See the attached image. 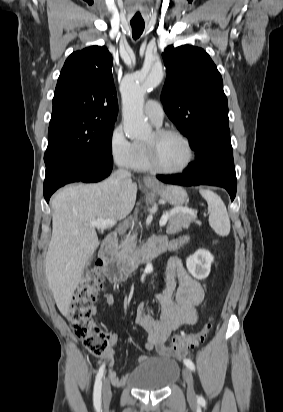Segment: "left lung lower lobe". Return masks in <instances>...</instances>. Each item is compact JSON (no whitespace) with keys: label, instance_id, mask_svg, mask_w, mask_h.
<instances>
[{"label":"left lung lower lobe","instance_id":"1","mask_svg":"<svg viewBox=\"0 0 283 412\" xmlns=\"http://www.w3.org/2000/svg\"><path fill=\"white\" fill-rule=\"evenodd\" d=\"M157 178L165 183L184 186L213 185L225 188L234 200L237 182L234 179L230 162L225 157L200 151L195 161L190 163L182 174L158 175Z\"/></svg>","mask_w":283,"mask_h":412}]
</instances>
